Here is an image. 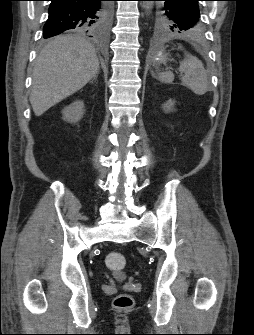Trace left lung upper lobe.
Returning a JSON list of instances; mask_svg holds the SVG:
<instances>
[{"instance_id": "1", "label": "left lung upper lobe", "mask_w": 254, "mask_h": 335, "mask_svg": "<svg viewBox=\"0 0 254 335\" xmlns=\"http://www.w3.org/2000/svg\"><path fill=\"white\" fill-rule=\"evenodd\" d=\"M152 16L157 29L166 32H198L202 20L198 2L200 0H153Z\"/></svg>"}]
</instances>
